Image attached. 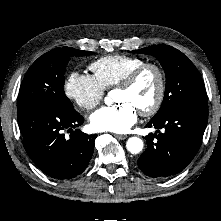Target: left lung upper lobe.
<instances>
[{"instance_id": "1", "label": "left lung upper lobe", "mask_w": 221, "mask_h": 221, "mask_svg": "<svg viewBox=\"0 0 221 221\" xmlns=\"http://www.w3.org/2000/svg\"><path fill=\"white\" fill-rule=\"evenodd\" d=\"M134 52L156 57L166 74L163 103L152 119L162 118L189 102L207 100L206 90L197 68L179 50L167 45H153Z\"/></svg>"}]
</instances>
